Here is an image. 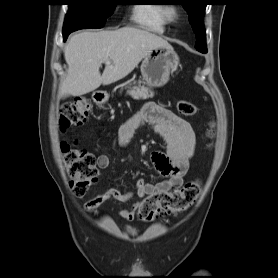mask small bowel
<instances>
[{
  "instance_id": "1",
  "label": "small bowel",
  "mask_w": 278,
  "mask_h": 278,
  "mask_svg": "<svg viewBox=\"0 0 278 278\" xmlns=\"http://www.w3.org/2000/svg\"><path fill=\"white\" fill-rule=\"evenodd\" d=\"M143 126L150 127L166 144L165 151H156L151 157L155 169L164 176V179L157 183H148L139 179L133 192H123L113 187L108 188L85 203L87 210L93 211L108 200L127 202L133 195L142 198L156 192L177 190L183 184V178L188 171L189 161L194 154L196 143L195 132L191 124L171 110L154 102H147L137 114L120 127V144L128 145L137 129ZM97 165L101 169L108 168L109 156L107 154L99 155ZM139 206L140 203L136 202L130 207L120 210V217L127 221L133 220Z\"/></svg>"
}]
</instances>
